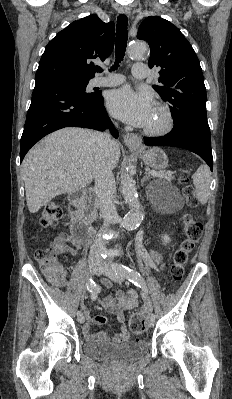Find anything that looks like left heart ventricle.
Returning <instances> with one entry per match:
<instances>
[{
	"instance_id": "left-heart-ventricle-1",
	"label": "left heart ventricle",
	"mask_w": 232,
	"mask_h": 399,
	"mask_svg": "<svg viewBox=\"0 0 232 399\" xmlns=\"http://www.w3.org/2000/svg\"><path fill=\"white\" fill-rule=\"evenodd\" d=\"M164 118L162 113L159 111L157 106L154 108V113L151 120L145 125L142 129L143 130H155L160 128L163 125Z\"/></svg>"
}]
</instances>
